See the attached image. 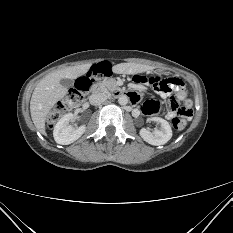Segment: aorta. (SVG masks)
Returning <instances> with one entry per match:
<instances>
[{"mask_svg":"<svg viewBox=\"0 0 233 233\" xmlns=\"http://www.w3.org/2000/svg\"><path fill=\"white\" fill-rule=\"evenodd\" d=\"M118 103L120 105H126L128 103V96L126 95H121L118 99Z\"/></svg>","mask_w":233,"mask_h":233,"instance_id":"obj_1","label":"aorta"}]
</instances>
